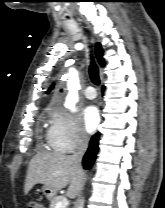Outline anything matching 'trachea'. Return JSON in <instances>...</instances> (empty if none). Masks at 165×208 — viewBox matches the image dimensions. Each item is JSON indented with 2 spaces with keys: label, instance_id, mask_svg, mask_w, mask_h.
Returning a JSON list of instances; mask_svg holds the SVG:
<instances>
[{
  "label": "trachea",
  "instance_id": "3493384b",
  "mask_svg": "<svg viewBox=\"0 0 165 208\" xmlns=\"http://www.w3.org/2000/svg\"><path fill=\"white\" fill-rule=\"evenodd\" d=\"M89 74H90L91 81L95 85H99V83H100L99 70H98V67L95 64L94 60H91V63L89 66Z\"/></svg>",
  "mask_w": 165,
  "mask_h": 208
}]
</instances>
